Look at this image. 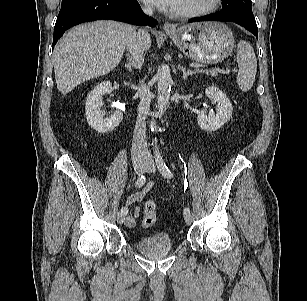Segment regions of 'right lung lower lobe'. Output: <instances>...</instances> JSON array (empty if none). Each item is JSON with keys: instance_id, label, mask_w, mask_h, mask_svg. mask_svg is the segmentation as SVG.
<instances>
[{"instance_id": "98d812e1", "label": "right lung lower lobe", "mask_w": 307, "mask_h": 301, "mask_svg": "<svg viewBox=\"0 0 307 301\" xmlns=\"http://www.w3.org/2000/svg\"><path fill=\"white\" fill-rule=\"evenodd\" d=\"M99 19L149 26L157 23L142 12L137 0H63L54 27L53 45L70 27Z\"/></svg>"}]
</instances>
